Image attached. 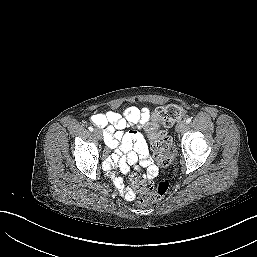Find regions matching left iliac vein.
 <instances>
[{
	"label": "left iliac vein",
	"instance_id": "4c4485c4",
	"mask_svg": "<svg viewBox=\"0 0 257 257\" xmlns=\"http://www.w3.org/2000/svg\"><path fill=\"white\" fill-rule=\"evenodd\" d=\"M186 128H187V123L184 122V121H181V122H179V123L177 124V126H176V131H177V132H182V131H184Z\"/></svg>",
	"mask_w": 257,
	"mask_h": 257
}]
</instances>
